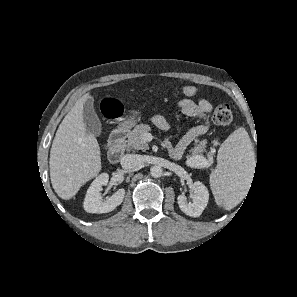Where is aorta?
<instances>
[{
  "mask_svg": "<svg viewBox=\"0 0 297 297\" xmlns=\"http://www.w3.org/2000/svg\"><path fill=\"white\" fill-rule=\"evenodd\" d=\"M150 174L152 177L154 178H158V177H161L162 174H163V169L161 166L159 165H154L151 167L150 169Z\"/></svg>",
  "mask_w": 297,
  "mask_h": 297,
  "instance_id": "762f6f07",
  "label": "aorta"
}]
</instances>
